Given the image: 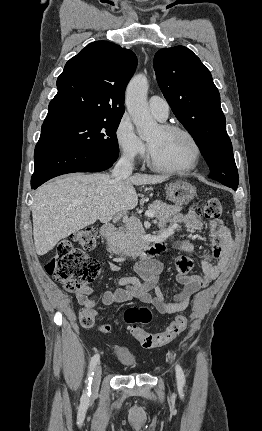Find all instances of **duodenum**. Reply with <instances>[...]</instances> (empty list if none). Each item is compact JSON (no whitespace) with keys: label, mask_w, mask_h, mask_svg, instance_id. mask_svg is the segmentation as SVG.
<instances>
[{"label":"duodenum","mask_w":262,"mask_h":431,"mask_svg":"<svg viewBox=\"0 0 262 431\" xmlns=\"http://www.w3.org/2000/svg\"><path fill=\"white\" fill-rule=\"evenodd\" d=\"M100 234L106 243L107 250L112 252L117 248V236L115 226L111 223H105L101 226ZM125 257L124 254H122Z\"/></svg>","instance_id":"1"}]
</instances>
